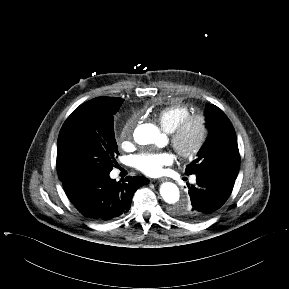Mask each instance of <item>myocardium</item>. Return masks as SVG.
Masks as SVG:
<instances>
[{"mask_svg":"<svg viewBox=\"0 0 289 289\" xmlns=\"http://www.w3.org/2000/svg\"><path fill=\"white\" fill-rule=\"evenodd\" d=\"M192 123L198 124L199 136L194 145L186 148L182 144V139L187 128ZM208 132L209 128L206 118L201 114H191L185 117L171 132V144L180 157L190 159L197 156L203 149L208 137Z\"/></svg>","mask_w":289,"mask_h":289,"instance_id":"obj_1","label":"myocardium"}]
</instances>
